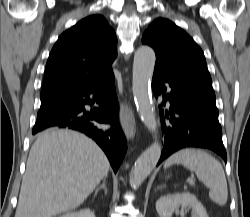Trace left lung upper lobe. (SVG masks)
<instances>
[{
	"mask_svg": "<svg viewBox=\"0 0 250 217\" xmlns=\"http://www.w3.org/2000/svg\"><path fill=\"white\" fill-rule=\"evenodd\" d=\"M142 43L155 50L154 71L172 78L212 83L201 48L170 20L158 18L151 23Z\"/></svg>",
	"mask_w": 250,
	"mask_h": 217,
	"instance_id": "1",
	"label": "left lung upper lobe"
}]
</instances>
